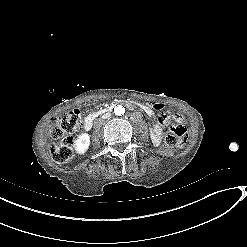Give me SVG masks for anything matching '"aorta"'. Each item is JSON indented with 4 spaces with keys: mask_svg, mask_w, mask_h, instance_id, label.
<instances>
[{
    "mask_svg": "<svg viewBox=\"0 0 247 247\" xmlns=\"http://www.w3.org/2000/svg\"><path fill=\"white\" fill-rule=\"evenodd\" d=\"M114 113L117 116H122L125 113V108L121 105H118L114 108Z\"/></svg>",
    "mask_w": 247,
    "mask_h": 247,
    "instance_id": "1",
    "label": "aorta"
}]
</instances>
